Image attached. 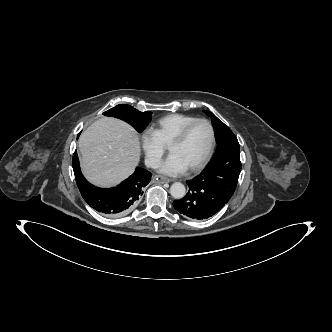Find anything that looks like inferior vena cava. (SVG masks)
I'll return each mask as SVG.
<instances>
[{
    "mask_svg": "<svg viewBox=\"0 0 332 332\" xmlns=\"http://www.w3.org/2000/svg\"><path fill=\"white\" fill-rule=\"evenodd\" d=\"M147 164L149 167L156 169L160 166V161L156 158H150L147 160Z\"/></svg>",
    "mask_w": 332,
    "mask_h": 332,
    "instance_id": "1",
    "label": "inferior vena cava"
}]
</instances>
